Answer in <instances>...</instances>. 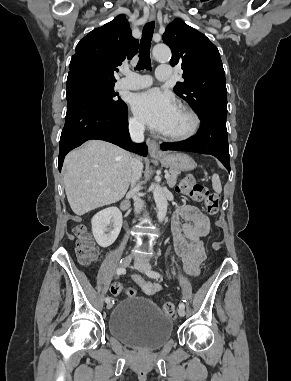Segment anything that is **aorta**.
<instances>
[{
	"label": "aorta",
	"mask_w": 291,
	"mask_h": 381,
	"mask_svg": "<svg viewBox=\"0 0 291 381\" xmlns=\"http://www.w3.org/2000/svg\"><path fill=\"white\" fill-rule=\"evenodd\" d=\"M153 56L158 61H167L171 58V50L164 44H158L153 48ZM153 197L157 207V217L159 222H162L167 213V199L164 195L162 188L158 184L152 186Z\"/></svg>",
	"instance_id": "aorta-1"
}]
</instances>
